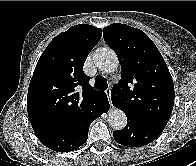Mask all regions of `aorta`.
I'll return each instance as SVG.
<instances>
[{"label": "aorta", "instance_id": "obj_1", "mask_svg": "<svg viewBox=\"0 0 196 166\" xmlns=\"http://www.w3.org/2000/svg\"><path fill=\"white\" fill-rule=\"evenodd\" d=\"M93 58L95 65L104 72L111 73L118 69V57L109 47L97 49ZM108 122L114 130H122L127 124V117L122 110L113 108L108 113Z\"/></svg>", "mask_w": 196, "mask_h": 166}]
</instances>
